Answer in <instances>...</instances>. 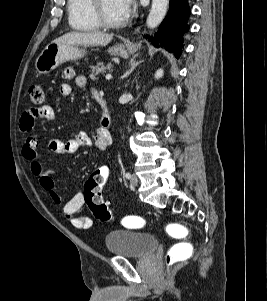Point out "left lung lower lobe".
I'll use <instances>...</instances> for the list:
<instances>
[{
	"instance_id": "left-lung-lower-lobe-1",
	"label": "left lung lower lobe",
	"mask_w": 267,
	"mask_h": 301,
	"mask_svg": "<svg viewBox=\"0 0 267 301\" xmlns=\"http://www.w3.org/2000/svg\"><path fill=\"white\" fill-rule=\"evenodd\" d=\"M189 15L188 0H170L169 12L157 33L144 35V38L149 39L156 47L161 46L179 58L183 47L182 36L189 30V25H187Z\"/></svg>"
}]
</instances>
